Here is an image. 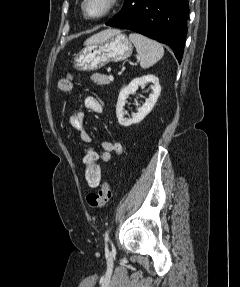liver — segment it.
<instances>
[{
  "label": "liver",
  "instance_id": "6515ba94",
  "mask_svg": "<svg viewBox=\"0 0 240 287\" xmlns=\"http://www.w3.org/2000/svg\"><path fill=\"white\" fill-rule=\"evenodd\" d=\"M111 31V29H107L104 31H101L93 36H91L89 39H87L86 43L93 41V40H97L100 39L101 37L105 36L107 33H109Z\"/></svg>",
  "mask_w": 240,
  "mask_h": 287
}]
</instances>
